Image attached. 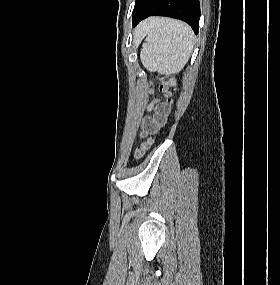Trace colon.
<instances>
[{
	"instance_id": "obj_1",
	"label": "colon",
	"mask_w": 280,
	"mask_h": 285,
	"mask_svg": "<svg viewBox=\"0 0 280 285\" xmlns=\"http://www.w3.org/2000/svg\"><path fill=\"white\" fill-rule=\"evenodd\" d=\"M165 81L161 87L162 92L164 93L165 97L168 98V100H170L171 96H172V89L171 87L174 85V82L172 79H168V78H164ZM162 124V122H159V124H153L149 127L148 132L149 133H153L155 131H157L158 127ZM151 143V140H148L147 142L143 143L136 151V155L137 156H141L146 149L149 147Z\"/></svg>"
}]
</instances>
